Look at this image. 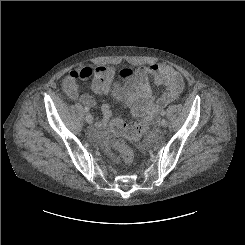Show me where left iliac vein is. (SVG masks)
<instances>
[{"mask_svg": "<svg viewBox=\"0 0 245 245\" xmlns=\"http://www.w3.org/2000/svg\"><path fill=\"white\" fill-rule=\"evenodd\" d=\"M159 124H160L161 127H166L167 124H168V122H167L166 119L163 118V119H161V120L159 121Z\"/></svg>", "mask_w": 245, "mask_h": 245, "instance_id": "1", "label": "left iliac vein"}]
</instances>
